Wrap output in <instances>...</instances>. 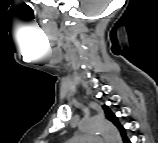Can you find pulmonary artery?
Instances as JSON below:
<instances>
[{
  "label": "pulmonary artery",
  "instance_id": "e3ab8cb5",
  "mask_svg": "<svg viewBox=\"0 0 158 143\" xmlns=\"http://www.w3.org/2000/svg\"><path fill=\"white\" fill-rule=\"evenodd\" d=\"M77 139H78V140H81V141H83V142H88V141L96 140L95 137H93V136H88V135L79 136Z\"/></svg>",
  "mask_w": 158,
  "mask_h": 143
}]
</instances>
